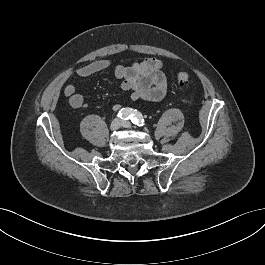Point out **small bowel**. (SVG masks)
I'll use <instances>...</instances> for the list:
<instances>
[{
    "mask_svg": "<svg viewBox=\"0 0 265 265\" xmlns=\"http://www.w3.org/2000/svg\"><path fill=\"white\" fill-rule=\"evenodd\" d=\"M110 67V61L96 60L79 67L76 74L80 77H88ZM162 68L161 60L150 57L141 62H134L130 66L117 65L113 68V73L121 81V89L131 91V101H160L166 95L168 86ZM63 92L71 107L79 109L83 106V96L77 92L74 84L67 83L63 88ZM119 109V104L113 105V110L117 111Z\"/></svg>",
    "mask_w": 265,
    "mask_h": 265,
    "instance_id": "1",
    "label": "small bowel"
}]
</instances>
